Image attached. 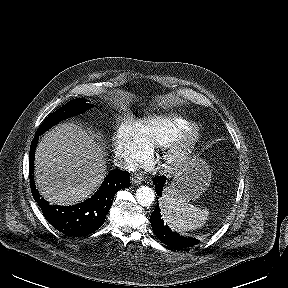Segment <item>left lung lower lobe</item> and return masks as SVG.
Masks as SVG:
<instances>
[{"mask_svg": "<svg viewBox=\"0 0 288 288\" xmlns=\"http://www.w3.org/2000/svg\"><path fill=\"white\" fill-rule=\"evenodd\" d=\"M153 182L156 185L157 195L161 196L166 178H155ZM161 217L160 208L157 203L155 210L150 216V222L154 234L161 242L173 249H184L199 243L196 238L184 237L179 233L173 232L167 225L164 224V221Z\"/></svg>", "mask_w": 288, "mask_h": 288, "instance_id": "left-lung-lower-lobe-1", "label": "left lung lower lobe"}]
</instances>
